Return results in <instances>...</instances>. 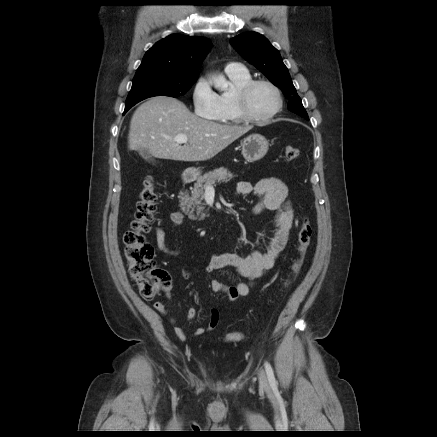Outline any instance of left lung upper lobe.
I'll list each match as a JSON object with an SVG mask.
<instances>
[{
	"instance_id": "5c2ea615",
	"label": "left lung upper lobe",
	"mask_w": 437,
	"mask_h": 437,
	"mask_svg": "<svg viewBox=\"0 0 437 437\" xmlns=\"http://www.w3.org/2000/svg\"><path fill=\"white\" fill-rule=\"evenodd\" d=\"M230 43L245 60L258 68L282 90L289 99L288 109L290 111L308 119L307 112L278 50L263 35L246 32L232 38Z\"/></svg>"
}]
</instances>
